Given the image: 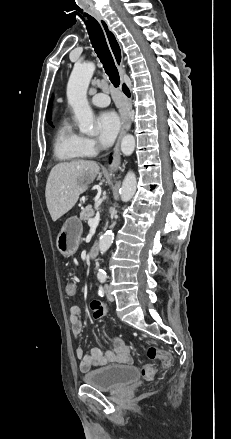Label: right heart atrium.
Instances as JSON below:
<instances>
[{"instance_id": "obj_1", "label": "right heart atrium", "mask_w": 231, "mask_h": 439, "mask_svg": "<svg viewBox=\"0 0 231 439\" xmlns=\"http://www.w3.org/2000/svg\"><path fill=\"white\" fill-rule=\"evenodd\" d=\"M81 147L85 155L91 156L97 152V143L94 139L89 137H81Z\"/></svg>"}]
</instances>
